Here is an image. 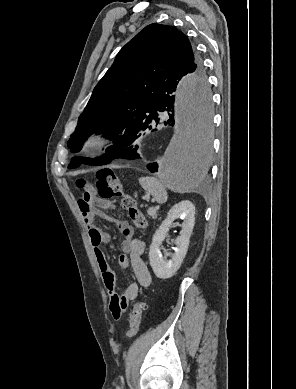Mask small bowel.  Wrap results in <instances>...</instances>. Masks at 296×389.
<instances>
[{
    "label": "small bowel",
    "mask_w": 296,
    "mask_h": 389,
    "mask_svg": "<svg viewBox=\"0 0 296 389\" xmlns=\"http://www.w3.org/2000/svg\"><path fill=\"white\" fill-rule=\"evenodd\" d=\"M83 223L88 231L92 243L99 270L104 285L110 296V311L114 315L116 311L121 314L126 311L130 302L135 300L140 289H147L152 281L151 274L142 256L144 245L134 238L133 227L124 220L109 219L115 223L123 235L121 242L122 254L119 256V265L126 269L131 268L135 281L127 285L122 294L117 291L116 275L109 266L103 245L110 242V235L95 225L96 216H104L103 211L112 207L109 201L97 197L93 191L83 193L78 201Z\"/></svg>",
    "instance_id": "c3829d8e"
}]
</instances>
